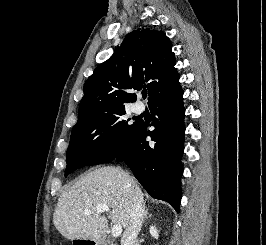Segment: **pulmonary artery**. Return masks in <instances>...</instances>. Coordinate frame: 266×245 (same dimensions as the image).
I'll return each mask as SVG.
<instances>
[{"label":"pulmonary artery","instance_id":"1","mask_svg":"<svg viewBox=\"0 0 266 245\" xmlns=\"http://www.w3.org/2000/svg\"><path fill=\"white\" fill-rule=\"evenodd\" d=\"M144 111V105L142 103H137L134 105V112L140 114Z\"/></svg>","mask_w":266,"mask_h":245}]
</instances>
